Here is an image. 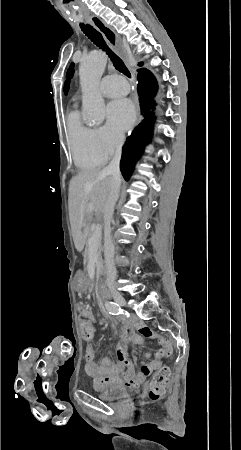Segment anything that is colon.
<instances>
[{
	"label": "colon",
	"instance_id": "colon-1",
	"mask_svg": "<svg viewBox=\"0 0 241 450\" xmlns=\"http://www.w3.org/2000/svg\"><path fill=\"white\" fill-rule=\"evenodd\" d=\"M79 335L83 336L87 341L95 339L97 334L93 332V323L87 321L79 325ZM166 349L159 352L160 355H165ZM157 359V358H156ZM172 373L170 368L165 371H157L153 376L149 386H148V398L150 401H157L164 397L169 382V375Z\"/></svg>",
	"mask_w": 241,
	"mask_h": 450
}]
</instances>
